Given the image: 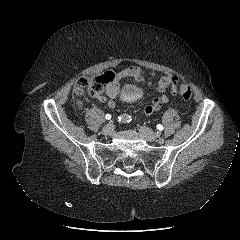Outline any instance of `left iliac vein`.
I'll return each instance as SVG.
<instances>
[{
    "mask_svg": "<svg viewBox=\"0 0 240 240\" xmlns=\"http://www.w3.org/2000/svg\"><path fill=\"white\" fill-rule=\"evenodd\" d=\"M140 134L149 142H153L157 139V135L150 128L145 126L139 127Z\"/></svg>",
    "mask_w": 240,
    "mask_h": 240,
    "instance_id": "1",
    "label": "left iliac vein"
}]
</instances>
